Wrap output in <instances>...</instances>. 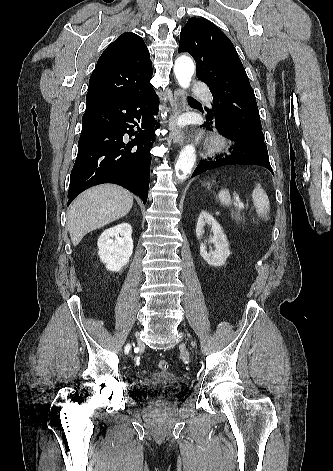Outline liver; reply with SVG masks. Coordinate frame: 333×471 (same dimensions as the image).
Wrapping results in <instances>:
<instances>
[{
  "label": "liver",
  "instance_id": "liver-1",
  "mask_svg": "<svg viewBox=\"0 0 333 471\" xmlns=\"http://www.w3.org/2000/svg\"><path fill=\"white\" fill-rule=\"evenodd\" d=\"M133 206L126 189L103 184L81 193L68 211L67 227L74 246L89 232L124 217Z\"/></svg>",
  "mask_w": 333,
  "mask_h": 471
}]
</instances>
